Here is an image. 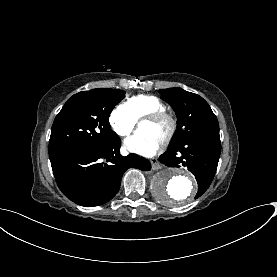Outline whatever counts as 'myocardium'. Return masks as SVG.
<instances>
[{"mask_svg":"<svg viewBox=\"0 0 277 277\" xmlns=\"http://www.w3.org/2000/svg\"><path fill=\"white\" fill-rule=\"evenodd\" d=\"M149 120V121H163L167 124L166 134L160 139L161 142L167 143L174 136L177 130V122L176 119L170 113L166 111H149L141 120Z\"/></svg>","mask_w":277,"mask_h":277,"instance_id":"obj_1","label":"myocardium"}]
</instances>
